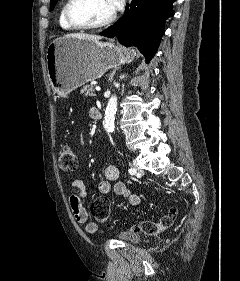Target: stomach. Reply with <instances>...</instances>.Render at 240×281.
Listing matches in <instances>:
<instances>
[{
  "label": "stomach",
  "mask_w": 240,
  "mask_h": 281,
  "mask_svg": "<svg viewBox=\"0 0 240 281\" xmlns=\"http://www.w3.org/2000/svg\"><path fill=\"white\" fill-rule=\"evenodd\" d=\"M134 50H123L111 42L61 37L47 48L48 77L60 96L101 77L108 69L133 61Z\"/></svg>",
  "instance_id": "0dacf381"
}]
</instances>
